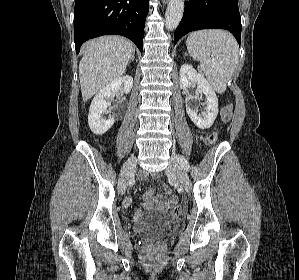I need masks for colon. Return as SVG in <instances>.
Returning <instances> with one entry per match:
<instances>
[{
    "label": "colon",
    "mask_w": 299,
    "mask_h": 280,
    "mask_svg": "<svg viewBox=\"0 0 299 280\" xmlns=\"http://www.w3.org/2000/svg\"><path fill=\"white\" fill-rule=\"evenodd\" d=\"M230 116H231V107L228 106L223 110V113H222L223 121L227 122L229 120ZM216 139H217V131H215V132L211 133L210 135H208L205 142H206L207 145H212L216 141ZM181 214H182V207L181 206L177 205V206H174L171 209V217L172 218H177Z\"/></svg>",
    "instance_id": "obj_1"
}]
</instances>
